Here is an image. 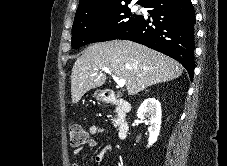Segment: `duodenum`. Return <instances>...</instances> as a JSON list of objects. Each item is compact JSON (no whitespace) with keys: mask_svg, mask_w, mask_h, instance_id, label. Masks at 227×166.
<instances>
[{"mask_svg":"<svg viewBox=\"0 0 227 166\" xmlns=\"http://www.w3.org/2000/svg\"><path fill=\"white\" fill-rule=\"evenodd\" d=\"M103 100L107 103L115 105L118 108L119 115L122 118V120L119 123V137L121 139L126 138L130 129V124L126 119V116L132 110L131 103L125 99L116 97L113 91L111 90L104 91Z\"/></svg>","mask_w":227,"mask_h":166,"instance_id":"1","label":"duodenum"}]
</instances>
